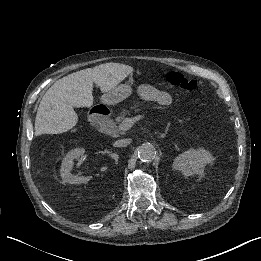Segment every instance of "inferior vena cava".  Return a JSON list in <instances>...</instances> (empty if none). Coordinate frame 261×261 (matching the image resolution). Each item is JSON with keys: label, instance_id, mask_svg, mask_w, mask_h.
Returning <instances> with one entry per match:
<instances>
[{"label": "inferior vena cava", "instance_id": "inferior-vena-cava-1", "mask_svg": "<svg viewBox=\"0 0 261 261\" xmlns=\"http://www.w3.org/2000/svg\"><path fill=\"white\" fill-rule=\"evenodd\" d=\"M128 142H130V140H128ZM118 143H119V144H121V143H122V144H126V141H125V140H119Z\"/></svg>", "mask_w": 261, "mask_h": 261}]
</instances>
